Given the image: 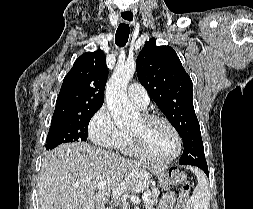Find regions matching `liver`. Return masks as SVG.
Instances as JSON below:
<instances>
[{"mask_svg":"<svg viewBox=\"0 0 253 209\" xmlns=\"http://www.w3.org/2000/svg\"><path fill=\"white\" fill-rule=\"evenodd\" d=\"M163 168L114 157L86 143L62 144L42 160L38 180L39 209H104L111 194L147 187L150 173ZM106 182L96 192V185ZM121 188L114 195L113 189Z\"/></svg>","mask_w":253,"mask_h":209,"instance_id":"liver-1","label":"liver"}]
</instances>
